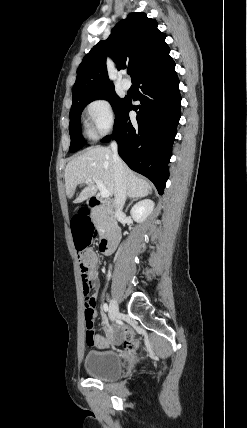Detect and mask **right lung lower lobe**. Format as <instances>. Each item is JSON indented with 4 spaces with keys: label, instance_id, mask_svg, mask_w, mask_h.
<instances>
[{
    "label": "right lung lower lobe",
    "instance_id": "right-lung-lower-lobe-1",
    "mask_svg": "<svg viewBox=\"0 0 247 428\" xmlns=\"http://www.w3.org/2000/svg\"><path fill=\"white\" fill-rule=\"evenodd\" d=\"M174 68L168 56L140 74L133 83L140 88L136 100L141 104L133 106L131 99H126L113 127L120 157L132 170L149 178L159 194H163L169 176L167 164L181 116L179 79ZM130 110L137 112L136 120H130ZM102 141H110V137Z\"/></svg>",
    "mask_w": 247,
    "mask_h": 428
}]
</instances>
